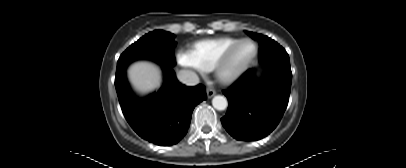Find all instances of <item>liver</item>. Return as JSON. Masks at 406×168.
Listing matches in <instances>:
<instances>
[{"label":"liver","instance_id":"obj_1","mask_svg":"<svg viewBox=\"0 0 406 168\" xmlns=\"http://www.w3.org/2000/svg\"><path fill=\"white\" fill-rule=\"evenodd\" d=\"M128 75L134 89L140 94L149 93L161 84L160 69L150 62L139 61L132 64Z\"/></svg>","mask_w":406,"mask_h":168}]
</instances>
